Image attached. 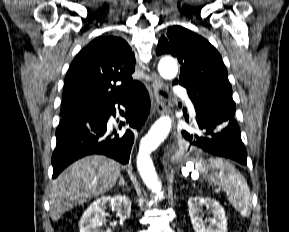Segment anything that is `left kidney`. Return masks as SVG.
Wrapping results in <instances>:
<instances>
[{
  "label": "left kidney",
  "mask_w": 289,
  "mask_h": 232,
  "mask_svg": "<svg viewBox=\"0 0 289 232\" xmlns=\"http://www.w3.org/2000/svg\"><path fill=\"white\" fill-rule=\"evenodd\" d=\"M189 216L195 232H227V218L223 207L214 199L192 196L188 200ZM206 208L212 217L203 219Z\"/></svg>",
  "instance_id": "left-kidney-1"
}]
</instances>
